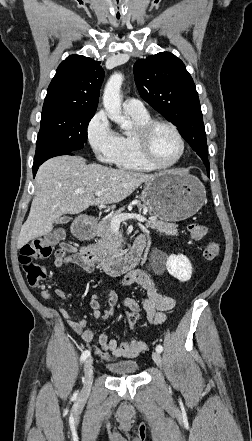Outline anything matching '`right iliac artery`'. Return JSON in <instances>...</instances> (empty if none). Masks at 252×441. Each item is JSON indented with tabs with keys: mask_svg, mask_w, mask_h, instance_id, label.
Wrapping results in <instances>:
<instances>
[{
	"mask_svg": "<svg viewBox=\"0 0 252 441\" xmlns=\"http://www.w3.org/2000/svg\"><path fill=\"white\" fill-rule=\"evenodd\" d=\"M88 356H90V351H89V350H85V351L82 353L81 357H80V361H81V362L85 361L86 358H88Z\"/></svg>",
	"mask_w": 252,
	"mask_h": 441,
	"instance_id": "82829eb1",
	"label": "right iliac artery"
}]
</instances>
